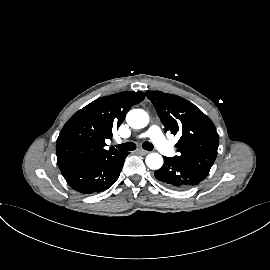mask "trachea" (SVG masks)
<instances>
[{
	"instance_id": "1",
	"label": "trachea",
	"mask_w": 270,
	"mask_h": 270,
	"mask_svg": "<svg viewBox=\"0 0 270 270\" xmlns=\"http://www.w3.org/2000/svg\"><path fill=\"white\" fill-rule=\"evenodd\" d=\"M116 147L123 151H133L136 149V144L133 142H127L124 144L116 145ZM142 148L151 151L153 150V145L150 142H144L142 144Z\"/></svg>"
}]
</instances>
